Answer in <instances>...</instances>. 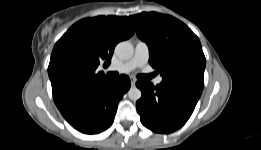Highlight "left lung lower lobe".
Segmentation results:
<instances>
[{
  "mask_svg": "<svg viewBox=\"0 0 261 150\" xmlns=\"http://www.w3.org/2000/svg\"><path fill=\"white\" fill-rule=\"evenodd\" d=\"M136 86L142 92L136 102L142 124L157 133H171L189 119L204 84L180 78L163 80L156 87L149 81L138 80Z\"/></svg>",
  "mask_w": 261,
  "mask_h": 150,
  "instance_id": "1",
  "label": "left lung lower lobe"
}]
</instances>
